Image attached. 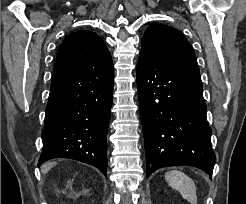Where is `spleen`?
<instances>
[{
	"label": "spleen",
	"mask_w": 246,
	"mask_h": 204,
	"mask_svg": "<svg viewBox=\"0 0 246 204\" xmlns=\"http://www.w3.org/2000/svg\"><path fill=\"white\" fill-rule=\"evenodd\" d=\"M165 179L189 203L197 204L196 185L188 175L182 171L171 170L166 172Z\"/></svg>",
	"instance_id": "obj_1"
}]
</instances>
